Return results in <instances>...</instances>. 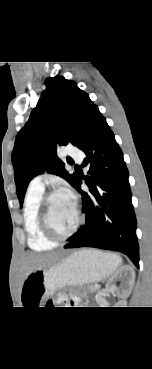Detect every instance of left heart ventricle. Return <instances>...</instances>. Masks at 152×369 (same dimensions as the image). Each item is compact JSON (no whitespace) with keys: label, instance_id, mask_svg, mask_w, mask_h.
Segmentation results:
<instances>
[{"label":"left heart ventricle","instance_id":"obj_1","mask_svg":"<svg viewBox=\"0 0 152 369\" xmlns=\"http://www.w3.org/2000/svg\"><path fill=\"white\" fill-rule=\"evenodd\" d=\"M49 207L50 221L54 230L59 234L68 233L77 220L73 200L60 193L51 199Z\"/></svg>","mask_w":152,"mask_h":369}]
</instances>
